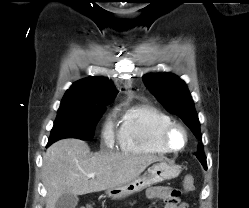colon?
Instances as JSON below:
<instances>
[{"label": "colon", "instance_id": "obj_1", "mask_svg": "<svg viewBox=\"0 0 249 208\" xmlns=\"http://www.w3.org/2000/svg\"><path fill=\"white\" fill-rule=\"evenodd\" d=\"M194 188V177L193 175H186L184 178V189L186 192L192 191ZM81 208H89L87 207H81Z\"/></svg>", "mask_w": 249, "mask_h": 208}]
</instances>
